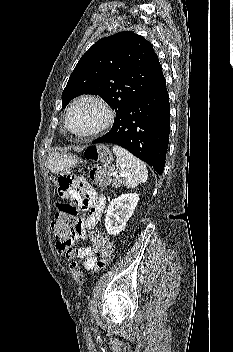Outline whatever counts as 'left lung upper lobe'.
I'll list each match as a JSON object with an SVG mask.
<instances>
[{"instance_id":"1","label":"left lung upper lobe","mask_w":233,"mask_h":352,"mask_svg":"<svg viewBox=\"0 0 233 352\" xmlns=\"http://www.w3.org/2000/svg\"><path fill=\"white\" fill-rule=\"evenodd\" d=\"M162 76L152 44L134 32H119L100 39L80 58L62 93V107L79 95L95 94L117 117Z\"/></svg>"}]
</instances>
